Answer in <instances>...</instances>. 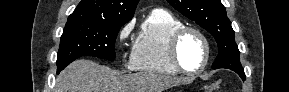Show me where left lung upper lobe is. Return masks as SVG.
Masks as SVG:
<instances>
[{"label": "left lung upper lobe", "mask_w": 289, "mask_h": 92, "mask_svg": "<svg viewBox=\"0 0 289 92\" xmlns=\"http://www.w3.org/2000/svg\"><path fill=\"white\" fill-rule=\"evenodd\" d=\"M187 18L211 33L218 44V56L212 68L243 70L240 52L234 39V30L220 0H167Z\"/></svg>", "instance_id": "left-lung-upper-lobe-1"}]
</instances>
